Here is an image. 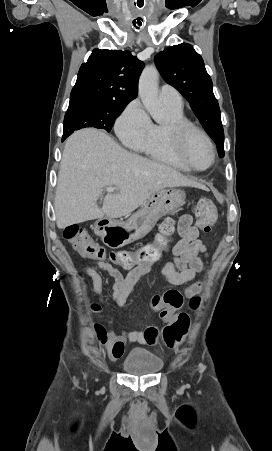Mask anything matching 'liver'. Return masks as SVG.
Wrapping results in <instances>:
<instances>
[{"label": "liver", "instance_id": "obj_1", "mask_svg": "<svg viewBox=\"0 0 272 451\" xmlns=\"http://www.w3.org/2000/svg\"><path fill=\"white\" fill-rule=\"evenodd\" d=\"M116 186L98 208L103 188ZM201 184L165 164L131 154L102 130L85 128L69 136L64 146L54 202L57 227L97 218H122L134 212L154 192Z\"/></svg>", "mask_w": 272, "mask_h": 451}]
</instances>
